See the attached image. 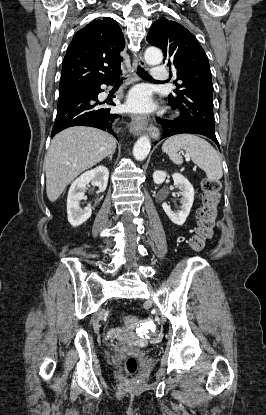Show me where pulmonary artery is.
Returning <instances> with one entry per match:
<instances>
[{
    "mask_svg": "<svg viewBox=\"0 0 266 415\" xmlns=\"http://www.w3.org/2000/svg\"><path fill=\"white\" fill-rule=\"evenodd\" d=\"M168 73L163 65L154 66L152 69V78L155 80H166Z\"/></svg>",
    "mask_w": 266,
    "mask_h": 415,
    "instance_id": "obj_1",
    "label": "pulmonary artery"
}]
</instances>
